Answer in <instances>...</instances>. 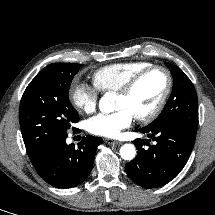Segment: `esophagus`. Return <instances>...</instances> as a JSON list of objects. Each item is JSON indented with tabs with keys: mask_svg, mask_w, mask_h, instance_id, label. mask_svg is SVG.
Returning a JSON list of instances; mask_svg holds the SVG:
<instances>
[{
	"mask_svg": "<svg viewBox=\"0 0 215 215\" xmlns=\"http://www.w3.org/2000/svg\"><path fill=\"white\" fill-rule=\"evenodd\" d=\"M105 142H106L107 144H113V145H121V144H122L121 141L113 140V139H109V138H106V139H105Z\"/></svg>",
	"mask_w": 215,
	"mask_h": 215,
	"instance_id": "esophagus-1",
	"label": "esophagus"
}]
</instances>
